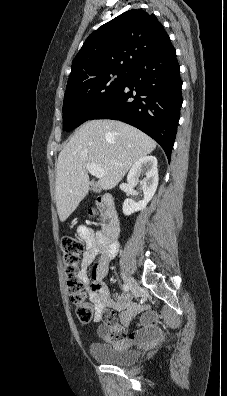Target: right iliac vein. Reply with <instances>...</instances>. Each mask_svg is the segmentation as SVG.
I'll return each mask as SVG.
<instances>
[{
	"instance_id": "63e3f726",
	"label": "right iliac vein",
	"mask_w": 227,
	"mask_h": 396,
	"mask_svg": "<svg viewBox=\"0 0 227 396\" xmlns=\"http://www.w3.org/2000/svg\"><path fill=\"white\" fill-rule=\"evenodd\" d=\"M121 275H122V278L124 279V281L126 282V284H128L129 287L131 288L133 295L136 298H138L140 296L141 292H140V288H139V285L137 284V282L134 280V278H132L131 276H129L128 274H126L124 272Z\"/></svg>"
}]
</instances>
